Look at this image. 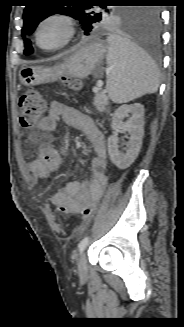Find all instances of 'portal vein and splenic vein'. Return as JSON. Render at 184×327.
I'll return each instance as SVG.
<instances>
[{"mask_svg":"<svg viewBox=\"0 0 184 327\" xmlns=\"http://www.w3.org/2000/svg\"><path fill=\"white\" fill-rule=\"evenodd\" d=\"M102 85H103V81L98 80L96 87L93 88V92H98L101 89Z\"/></svg>","mask_w":184,"mask_h":327,"instance_id":"obj_1","label":"portal vein and splenic vein"}]
</instances>
